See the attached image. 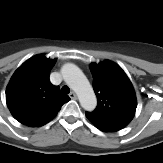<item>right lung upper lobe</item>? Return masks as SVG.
<instances>
[{
    "mask_svg": "<svg viewBox=\"0 0 163 163\" xmlns=\"http://www.w3.org/2000/svg\"><path fill=\"white\" fill-rule=\"evenodd\" d=\"M55 63L56 59L39 54L24 62L11 77L6 89V102L13 117L20 123L44 125L70 100L49 80Z\"/></svg>",
    "mask_w": 163,
    "mask_h": 163,
    "instance_id": "right-lung-upper-lobe-1",
    "label": "right lung upper lobe"
}]
</instances>
